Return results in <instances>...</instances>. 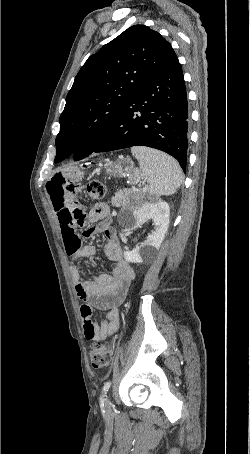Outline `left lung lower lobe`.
<instances>
[{"label": "left lung lower lobe", "mask_w": 250, "mask_h": 454, "mask_svg": "<svg viewBox=\"0 0 250 454\" xmlns=\"http://www.w3.org/2000/svg\"><path fill=\"white\" fill-rule=\"evenodd\" d=\"M188 122L184 76L174 52L134 94L91 153L147 146L170 154L186 172Z\"/></svg>", "instance_id": "0a47b994"}]
</instances>
